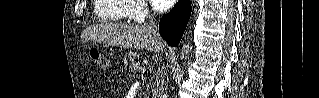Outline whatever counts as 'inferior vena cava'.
I'll use <instances>...</instances> for the list:
<instances>
[{
  "instance_id": "obj_1",
  "label": "inferior vena cava",
  "mask_w": 319,
  "mask_h": 98,
  "mask_svg": "<svg viewBox=\"0 0 319 98\" xmlns=\"http://www.w3.org/2000/svg\"><path fill=\"white\" fill-rule=\"evenodd\" d=\"M148 31L157 39H160L157 25L154 21V16H150L148 18V22L144 25ZM164 83H165V74L163 68H158L156 73V79L152 90V98H162V94L164 91Z\"/></svg>"
}]
</instances>
